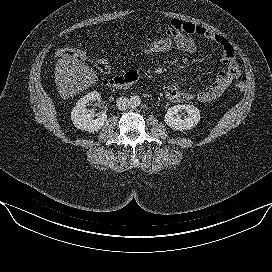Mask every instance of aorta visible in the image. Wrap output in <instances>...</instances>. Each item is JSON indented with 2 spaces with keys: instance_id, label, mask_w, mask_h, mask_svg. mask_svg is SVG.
Masks as SVG:
<instances>
[{
  "instance_id": "1",
  "label": "aorta",
  "mask_w": 272,
  "mask_h": 272,
  "mask_svg": "<svg viewBox=\"0 0 272 272\" xmlns=\"http://www.w3.org/2000/svg\"><path fill=\"white\" fill-rule=\"evenodd\" d=\"M129 100L131 107H138L141 104V98L138 95L131 96Z\"/></svg>"
}]
</instances>
